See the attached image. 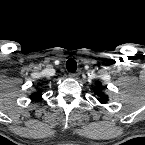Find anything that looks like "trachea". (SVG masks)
I'll return each mask as SVG.
<instances>
[{
    "instance_id": "trachea-1",
    "label": "trachea",
    "mask_w": 145,
    "mask_h": 145,
    "mask_svg": "<svg viewBox=\"0 0 145 145\" xmlns=\"http://www.w3.org/2000/svg\"><path fill=\"white\" fill-rule=\"evenodd\" d=\"M66 68L69 72H75L77 69V63L74 59L70 58L66 62Z\"/></svg>"
}]
</instances>
